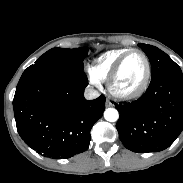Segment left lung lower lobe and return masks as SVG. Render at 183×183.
<instances>
[{
    "instance_id": "left-lung-lower-lobe-1",
    "label": "left lung lower lobe",
    "mask_w": 183,
    "mask_h": 183,
    "mask_svg": "<svg viewBox=\"0 0 183 183\" xmlns=\"http://www.w3.org/2000/svg\"><path fill=\"white\" fill-rule=\"evenodd\" d=\"M116 128L123 145L138 153L168 148L183 130V74L179 68L152 77L137 100L115 105Z\"/></svg>"
}]
</instances>
